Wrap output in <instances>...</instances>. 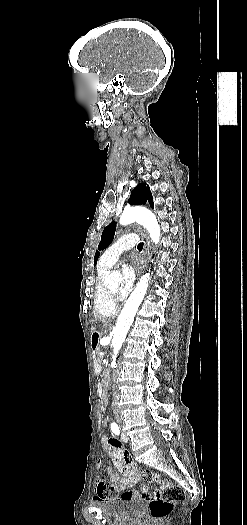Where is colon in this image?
I'll return each instance as SVG.
<instances>
[{"label":"colon","mask_w":247,"mask_h":525,"mask_svg":"<svg viewBox=\"0 0 247 525\" xmlns=\"http://www.w3.org/2000/svg\"><path fill=\"white\" fill-rule=\"evenodd\" d=\"M96 430L101 432L103 427L106 426L107 421L105 418L100 417L96 421ZM142 478L147 483H157L159 490L153 495L149 496V507L151 515L155 519H162L169 516L173 504L175 502H181L185 499V491L183 488L171 484L165 477L152 473L150 471H144Z\"/></svg>","instance_id":"5ec220e1"}]
</instances>
